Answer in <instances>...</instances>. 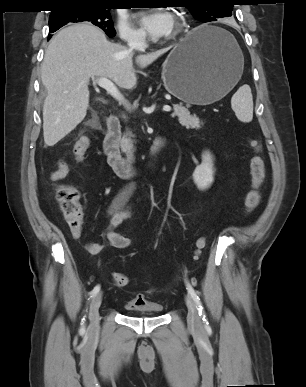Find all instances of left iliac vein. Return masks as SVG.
<instances>
[{
	"label": "left iliac vein",
	"instance_id": "left-iliac-vein-1",
	"mask_svg": "<svg viewBox=\"0 0 306 387\" xmlns=\"http://www.w3.org/2000/svg\"><path fill=\"white\" fill-rule=\"evenodd\" d=\"M186 305L188 308L187 322L189 327L196 331H202V323L199 317L197 306L194 300L190 296H186Z\"/></svg>",
	"mask_w": 306,
	"mask_h": 387
}]
</instances>
